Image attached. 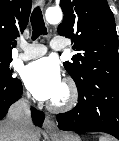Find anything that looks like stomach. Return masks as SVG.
I'll return each mask as SVG.
<instances>
[{"label":"stomach","mask_w":119,"mask_h":141,"mask_svg":"<svg viewBox=\"0 0 119 141\" xmlns=\"http://www.w3.org/2000/svg\"><path fill=\"white\" fill-rule=\"evenodd\" d=\"M53 141H81L80 137L73 133H64L52 137Z\"/></svg>","instance_id":"1"}]
</instances>
